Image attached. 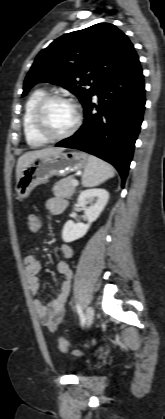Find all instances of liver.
<instances>
[{
  "instance_id": "1",
  "label": "liver",
  "mask_w": 165,
  "mask_h": 419,
  "mask_svg": "<svg viewBox=\"0 0 165 419\" xmlns=\"http://www.w3.org/2000/svg\"><path fill=\"white\" fill-rule=\"evenodd\" d=\"M64 150H65V148L47 147V148H43V149H40V150H33V151H29V152L24 153L22 156H20V158L18 159V162H17V167H16V178H17V180L19 179L22 171L35 158H38L40 156H45V155H50V154L63 152Z\"/></svg>"
}]
</instances>
